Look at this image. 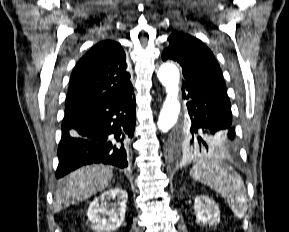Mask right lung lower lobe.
Returning a JSON list of instances; mask_svg holds the SVG:
<instances>
[{
	"label": "right lung lower lobe",
	"mask_w": 289,
	"mask_h": 232,
	"mask_svg": "<svg viewBox=\"0 0 289 232\" xmlns=\"http://www.w3.org/2000/svg\"><path fill=\"white\" fill-rule=\"evenodd\" d=\"M132 94L133 90L116 99L66 111L56 178L91 163L128 166V144L136 122Z\"/></svg>",
	"instance_id": "obj_1"
}]
</instances>
